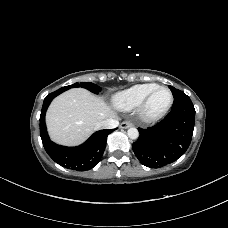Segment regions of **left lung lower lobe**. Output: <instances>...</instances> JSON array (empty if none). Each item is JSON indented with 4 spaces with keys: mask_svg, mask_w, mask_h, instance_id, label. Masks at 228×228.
<instances>
[{
    "mask_svg": "<svg viewBox=\"0 0 228 228\" xmlns=\"http://www.w3.org/2000/svg\"><path fill=\"white\" fill-rule=\"evenodd\" d=\"M195 109L184 94L174 99L168 115L147 129L138 128L139 138L132 148L139 161L160 168L180 158L188 149L193 135Z\"/></svg>",
    "mask_w": 228,
    "mask_h": 228,
    "instance_id": "1",
    "label": "left lung lower lobe"
}]
</instances>
